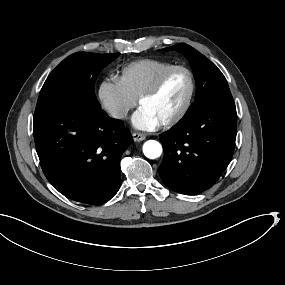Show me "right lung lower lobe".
I'll return each mask as SVG.
<instances>
[{
  "label": "right lung lower lobe",
  "instance_id": "98d812e1",
  "mask_svg": "<svg viewBox=\"0 0 285 285\" xmlns=\"http://www.w3.org/2000/svg\"><path fill=\"white\" fill-rule=\"evenodd\" d=\"M33 135L46 178L65 197L101 205L119 190L121 155L133 143L123 122L63 104L34 115Z\"/></svg>",
  "mask_w": 285,
  "mask_h": 285
}]
</instances>
